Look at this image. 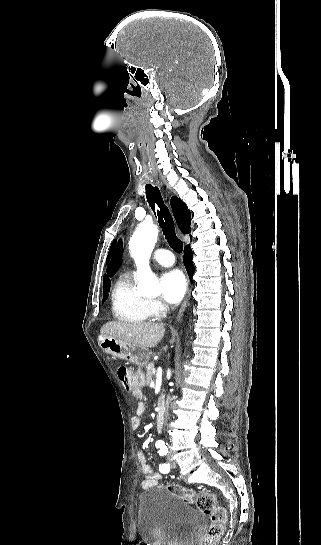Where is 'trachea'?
<instances>
[{"label": "trachea", "instance_id": "1", "mask_svg": "<svg viewBox=\"0 0 321 545\" xmlns=\"http://www.w3.org/2000/svg\"><path fill=\"white\" fill-rule=\"evenodd\" d=\"M156 181L157 178L153 174H149L145 178L144 185L147 201L154 214L158 217L159 225L170 247L173 248L175 252L181 253L183 250V242L176 236L173 217L170 214L168 207L165 205L158 187H156Z\"/></svg>", "mask_w": 321, "mask_h": 545}]
</instances>
